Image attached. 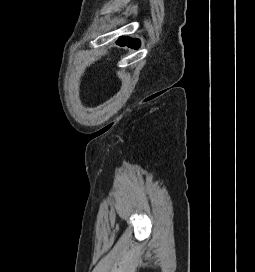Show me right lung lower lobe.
Segmentation results:
<instances>
[{"label":"right lung lower lobe","instance_id":"98d812e1","mask_svg":"<svg viewBox=\"0 0 255 272\" xmlns=\"http://www.w3.org/2000/svg\"><path fill=\"white\" fill-rule=\"evenodd\" d=\"M117 44L120 46H129L131 48H137L139 47L140 43L137 39L128 38V37H122L117 41Z\"/></svg>","mask_w":255,"mask_h":272}]
</instances>
